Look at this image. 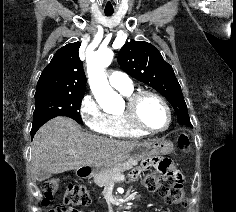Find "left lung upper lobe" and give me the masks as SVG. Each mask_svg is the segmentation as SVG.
Returning a JSON list of instances; mask_svg holds the SVG:
<instances>
[{
    "label": "left lung upper lobe",
    "mask_w": 236,
    "mask_h": 212,
    "mask_svg": "<svg viewBox=\"0 0 236 212\" xmlns=\"http://www.w3.org/2000/svg\"><path fill=\"white\" fill-rule=\"evenodd\" d=\"M118 62L124 72L165 96L173 106L178 122L192 126L180 84L156 47L148 42L131 40L121 48Z\"/></svg>",
    "instance_id": "5c2ea615"
}]
</instances>
